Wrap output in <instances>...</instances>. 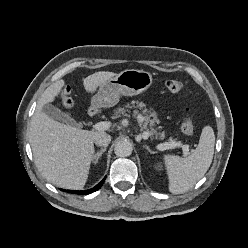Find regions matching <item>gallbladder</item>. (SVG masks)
Masks as SVG:
<instances>
[{"label": "gallbladder", "instance_id": "1", "mask_svg": "<svg viewBox=\"0 0 248 248\" xmlns=\"http://www.w3.org/2000/svg\"><path fill=\"white\" fill-rule=\"evenodd\" d=\"M42 111L47 114L52 119H57L59 121L66 122L72 126H77L76 121L62 112L59 108L53 106L52 104H46L42 108Z\"/></svg>", "mask_w": 248, "mask_h": 248}]
</instances>
